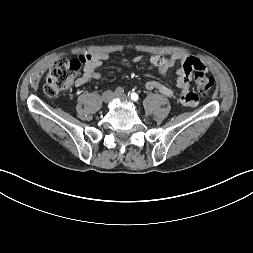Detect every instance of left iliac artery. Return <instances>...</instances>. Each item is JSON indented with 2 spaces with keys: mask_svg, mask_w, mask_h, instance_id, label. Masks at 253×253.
<instances>
[{
  "mask_svg": "<svg viewBox=\"0 0 253 253\" xmlns=\"http://www.w3.org/2000/svg\"><path fill=\"white\" fill-rule=\"evenodd\" d=\"M130 97H131V99L133 100V101H137L138 100V94H136V93H131L130 94Z\"/></svg>",
  "mask_w": 253,
  "mask_h": 253,
  "instance_id": "44dca946",
  "label": "left iliac artery"
}]
</instances>
